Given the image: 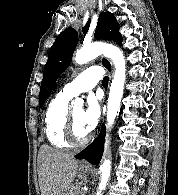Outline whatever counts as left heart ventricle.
I'll use <instances>...</instances> for the list:
<instances>
[{"mask_svg": "<svg viewBox=\"0 0 178 195\" xmlns=\"http://www.w3.org/2000/svg\"><path fill=\"white\" fill-rule=\"evenodd\" d=\"M83 113L84 112L82 110H77L72 113L74 121V133L78 140H83L88 136V133L82 123Z\"/></svg>", "mask_w": 178, "mask_h": 195, "instance_id": "obj_1", "label": "left heart ventricle"}]
</instances>
